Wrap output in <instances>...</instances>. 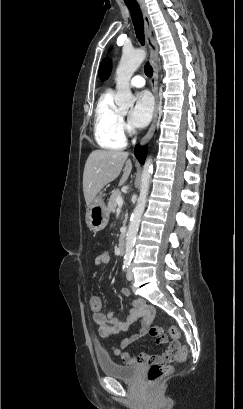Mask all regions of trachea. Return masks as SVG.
<instances>
[{
	"label": "trachea",
	"mask_w": 243,
	"mask_h": 409,
	"mask_svg": "<svg viewBox=\"0 0 243 409\" xmlns=\"http://www.w3.org/2000/svg\"><path fill=\"white\" fill-rule=\"evenodd\" d=\"M124 2L130 11L132 22H133L135 33H136V37L138 41L142 45H144V21H143L140 7L136 1L130 2L128 0H124ZM144 71H145L146 76L148 77H151L153 75V69L150 66L149 62L145 64Z\"/></svg>",
	"instance_id": "3493384b"
}]
</instances>
